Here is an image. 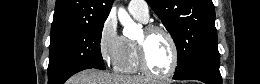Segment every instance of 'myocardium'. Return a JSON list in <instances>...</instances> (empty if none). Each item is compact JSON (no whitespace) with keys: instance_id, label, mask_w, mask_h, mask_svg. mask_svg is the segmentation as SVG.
<instances>
[{"instance_id":"f54148a6","label":"myocardium","mask_w":260,"mask_h":84,"mask_svg":"<svg viewBox=\"0 0 260 84\" xmlns=\"http://www.w3.org/2000/svg\"><path fill=\"white\" fill-rule=\"evenodd\" d=\"M143 32L145 34L144 37H147L155 32H161L163 35H165L171 46L172 59H171L170 69L166 73L154 72L147 63L144 39L137 40L136 41V50H137L139 67H140L141 71L144 74H146L148 77L153 78V79L165 80V79L173 77L178 68V65H179V50H178V45L175 40V37L167 28H165L162 25H158V24H152V25L145 27Z\"/></svg>"}]
</instances>
